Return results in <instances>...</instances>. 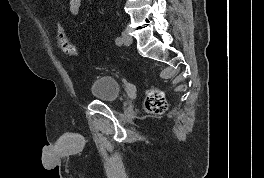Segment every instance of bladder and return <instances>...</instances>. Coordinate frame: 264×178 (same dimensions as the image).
<instances>
[{
    "mask_svg": "<svg viewBox=\"0 0 264 178\" xmlns=\"http://www.w3.org/2000/svg\"><path fill=\"white\" fill-rule=\"evenodd\" d=\"M89 91L94 99L109 104L116 103L122 94L120 83L109 75H102L95 79Z\"/></svg>",
    "mask_w": 264,
    "mask_h": 178,
    "instance_id": "bladder-1",
    "label": "bladder"
}]
</instances>
